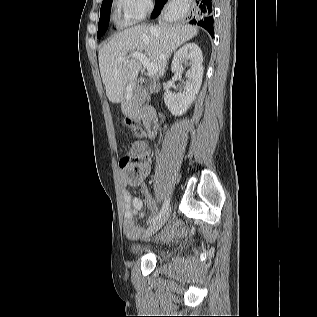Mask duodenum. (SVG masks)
Listing matches in <instances>:
<instances>
[{
	"label": "duodenum",
	"instance_id": "obj_1",
	"mask_svg": "<svg viewBox=\"0 0 317 317\" xmlns=\"http://www.w3.org/2000/svg\"><path fill=\"white\" fill-rule=\"evenodd\" d=\"M122 109L125 115H140L145 123L149 138H154L158 130V122L155 111L146 107L142 100H122Z\"/></svg>",
	"mask_w": 317,
	"mask_h": 317
}]
</instances>
